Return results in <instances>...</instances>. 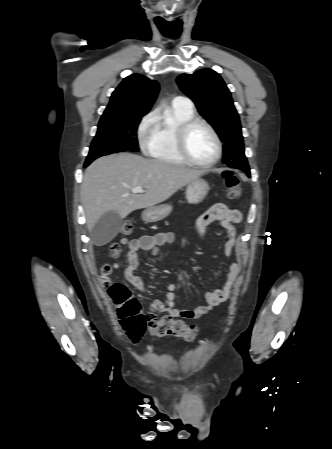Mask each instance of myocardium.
<instances>
[{
  "instance_id": "myocardium-1",
  "label": "myocardium",
  "mask_w": 332,
  "mask_h": 449,
  "mask_svg": "<svg viewBox=\"0 0 332 449\" xmlns=\"http://www.w3.org/2000/svg\"><path fill=\"white\" fill-rule=\"evenodd\" d=\"M196 125H203L206 127L214 138L216 144V154L214 158L206 163L196 161L189 153L187 148V135L189 131ZM176 148L180 156L185 162L200 168H210L214 166L222 156V142L219 134L215 128L206 120L200 118H191L183 123H181L176 130Z\"/></svg>"
}]
</instances>
